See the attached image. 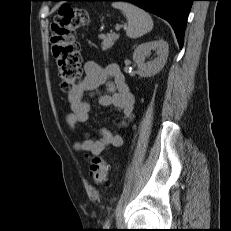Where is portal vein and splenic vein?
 Returning a JSON list of instances; mask_svg holds the SVG:
<instances>
[{
	"mask_svg": "<svg viewBox=\"0 0 231 231\" xmlns=\"http://www.w3.org/2000/svg\"><path fill=\"white\" fill-rule=\"evenodd\" d=\"M121 28H122L121 25H116V27H115L116 31H119ZM124 29H126V26H124Z\"/></svg>",
	"mask_w": 231,
	"mask_h": 231,
	"instance_id": "obj_1",
	"label": "portal vein and splenic vein"
}]
</instances>
